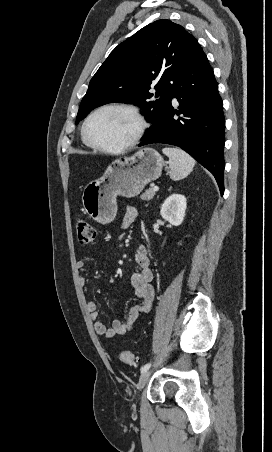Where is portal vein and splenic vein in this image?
Returning <instances> with one entry per match:
<instances>
[{"instance_id": "obj_1", "label": "portal vein and splenic vein", "mask_w": 272, "mask_h": 452, "mask_svg": "<svg viewBox=\"0 0 272 452\" xmlns=\"http://www.w3.org/2000/svg\"><path fill=\"white\" fill-rule=\"evenodd\" d=\"M153 190L156 192V191L159 190V187H158V186H154V187H153Z\"/></svg>"}]
</instances>
